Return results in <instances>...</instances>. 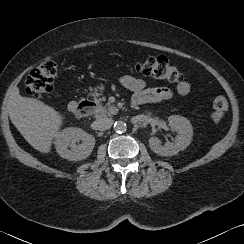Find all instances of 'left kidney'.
Returning a JSON list of instances; mask_svg holds the SVG:
<instances>
[{
  "label": "left kidney",
  "instance_id": "obj_1",
  "mask_svg": "<svg viewBox=\"0 0 244 244\" xmlns=\"http://www.w3.org/2000/svg\"><path fill=\"white\" fill-rule=\"evenodd\" d=\"M169 126L177 133L173 142L161 145L157 137L149 138L151 150L160 156H173L180 151L185 150L193 138V127L190 121L180 115H171L168 117Z\"/></svg>",
  "mask_w": 244,
  "mask_h": 244
}]
</instances>
